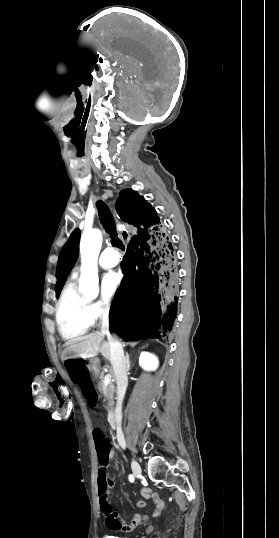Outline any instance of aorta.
I'll return each mask as SVG.
<instances>
[{
    "label": "aorta",
    "mask_w": 279,
    "mask_h": 538,
    "mask_svg": "<svg viewBox=\"0 0 279 538\" xmlns=\"http://www.w3.org/2000/svg\"><path fill=\"white\" fill-rule=\"evenodd\" d=\"M102 245V233L98 229L84 231L80 240L81 275L79 291L84 297L94 299L99 293L97 260Z\"/></svg>",
    "instance_id": "762f6f07"
}]
</instances>
